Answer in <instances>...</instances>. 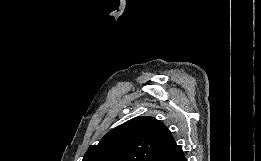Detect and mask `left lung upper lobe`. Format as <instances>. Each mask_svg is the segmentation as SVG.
I'll return each mask as SVG.
<instances>
[{
    "mask_svg": "<svg viewBox=\"0 0 261 161\" xmlns=\"http://www.w3.org/2000/svg\"><path fill=\"white\" fill-rule=\"evenodd\" d=\"M174 141L163 123L139 116L109 131L98 145H91L82 161H151Z\"/></svg>",
    "mask_w": 261,
    "mask_h": 161,
    "instance_id": "5c2ea615",
    "label": "left lung upper lobe"
}]
</instances>
